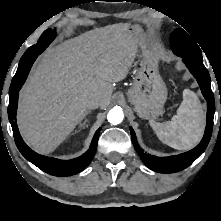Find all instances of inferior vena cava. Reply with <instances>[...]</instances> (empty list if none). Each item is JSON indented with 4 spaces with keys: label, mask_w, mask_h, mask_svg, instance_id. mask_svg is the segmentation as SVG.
Instances as JSON below:
<instances>
[{
    "label": "inferior vena cava",
    "mask_w": 221,
    "mask_h": 221,
    "mask_svg": "<svg viewBox=\"0 0 221 221\" xmlns=\"http://www.w3.org/2000/svg\"><path fill=\"white\" fill-rule=\"evenodd\" d=\"M88 109H96L100 106V100L97 97H93L86 102Z\"/></svg>",
    "instance_id": "602c4592"
}]
</instances>
